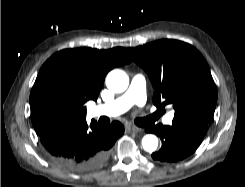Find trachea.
<instances>
[{
  "mask_svg": "<svg viewBox=\"0 0 245 187\" xmlns=\"http://www.w3.org/2000/svg\"><path fill=\"white\" fill-rule=\"evenodd\" d=\"M157 117H158V114H154L146 118H138L135 120V124L141 127L149 126L155 122Z\"/></svg>",
  "mask_w": 245,
  "mask_h": 187,
  "instance_id": "obj_1",
  "label": "trachea"
}]
</instances>
